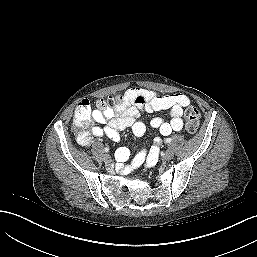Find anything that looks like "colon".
Masks as SVG:
<instances>
[{"mask_svg":"<svg viewBox=\"0 0 257 257\" xmlns=\"http://www.w3.org/2000/svg\"><path fill=\"white\" fill-rule=\"evenodd\" d=\"M123 103V98L120 95L110 96L98 101L97 106L101 110L114 109ZM77 115L74 121L75 129L79 132L92 123L91 107L88 100H81L76 108ZM185 128L187 132L193 134L198 130L200 123V112L195 107H188L184 114Z\"/></svg>","mask_w":257,"mask_h":257,"instance_id":"5ec220e1","label":"colon"}]
</instances>
